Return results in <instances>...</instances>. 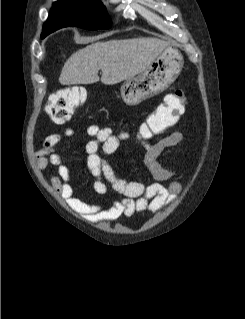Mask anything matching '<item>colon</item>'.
I'll list each match as a JSON object with an SVG mask.
<instances>
[{
	"instance_id": "1",
	"label": "colon",
	"mask_w": 245,
	"mask_h": 319,
	"mask_svg": "<svg viewBox=\"0 0 245 319\" xmlns=\"http://www.w3.org/2000/svg\"><path fill=\"white\" fill-rule=\"evenodd\" d=\"M173 93L165 103L147 117L140 125L138 135L142 140H151L173 126L183 113L184 95ZM87 93L83 87L74 86L53 94L46 105V110L53 121L67 120L74 110L86 99Z\"/></svg>"
}]
</instances>
